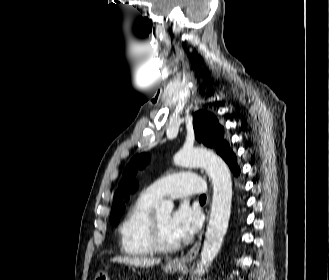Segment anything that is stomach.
I'll return each instance as SVG.
<instances>
[{"label":"stomach","mask_w":329,"mask_h":280,"mask_svg":"<svg viewBox=\"0 0 329 280\" xmlns=\"http://www.w3.org/2000/svg\"><path fill=\"white\" fill-rule=\"evenodd\" d=\"M181 269V266L167 264L164 267L166 273H175ZM94 280H110L108 274L105 271H100L95 276Z\"/></svg>","instance_id":"1"}]
</instances>
